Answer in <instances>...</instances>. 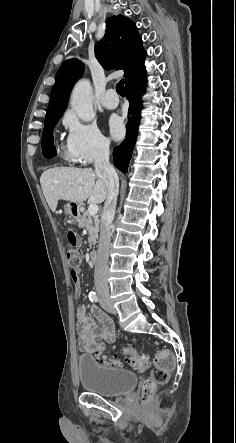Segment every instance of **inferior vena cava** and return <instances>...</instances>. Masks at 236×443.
<instances>
[{
	"instance_id": "obj_1",
	"label": "inferior vena cava",
	"mask_w": 236,
	"mask_h": 443,
	"mask_svg": "<svg viewBox=\"0 0 236 443\" xmlns=\"http://www.w3.org/2000/svg\"><path fill=\"white\" fill-rule=\"evenodd\" d=\"M109 146L110 140L106 138L103 139L94 161L95 173L102 178L107 186V198L102 212L100 239L94 272L95 287L100 304L111 303L107 282L108 257L111 241L110 226L114 219L119 190L118 175L109 162Z\"/></svg>"
}]
</instances>
